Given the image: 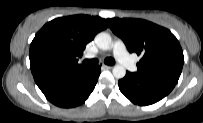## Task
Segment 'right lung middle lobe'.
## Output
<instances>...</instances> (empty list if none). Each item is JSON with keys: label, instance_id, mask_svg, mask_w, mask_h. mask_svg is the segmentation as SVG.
Masks as SVG:
<instances>
[{"label": "right lung middle lobe", "instance_id": "right-lung-middle-lobe-1", "mask_svg": "<svg viewBox=\"0 0 203 123\" xmlns=\"http://www.w3.org/2000/svg\"><path fill=\"white\" fill-rule=\"evenodd\" d=\"M53 57L49 54H41L37 60V65L42 69H49L53 66Z\"/></svg>", "mask_w": 203, "mask_h": 123}]
</instances>
